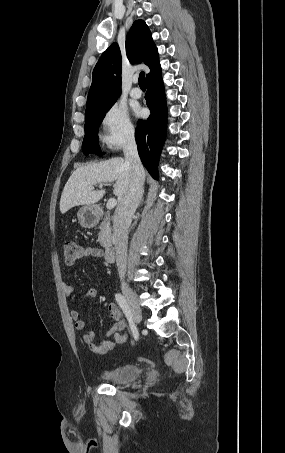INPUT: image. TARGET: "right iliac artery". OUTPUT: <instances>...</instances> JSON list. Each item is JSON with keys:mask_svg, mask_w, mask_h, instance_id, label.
<instances>
[{"mask_svg": "<svg viewBox=\"0 0 285 453\" xmlns=\"http://www.w3.org/2000/svg\"><path fill=\"white\" fill-rule=\"evenodd\" d=\"M115 299H116L117 303L119 304V306L121 307L123 313L125 314L128 322H129V326H130V329L132 331V334H133L135 340H137L138 339V330L133 322L131 311H130V308L128 306L126 299L119 293L115 294Z\"/></svg>", "mask_w": 285, "mask_h": 453, "instance_id": "82829eb1", "label": "right iliac artery"}]
</instances>
